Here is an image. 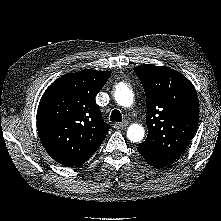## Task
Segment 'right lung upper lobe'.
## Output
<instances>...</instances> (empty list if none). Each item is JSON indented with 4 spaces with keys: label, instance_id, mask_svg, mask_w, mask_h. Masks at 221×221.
Wrapping results in <instances>:
<instances>
[{
    "label": "right lung upper lobe",
    "instance_id": "obj_1",
    "mask_svg": "<svg viewBox=\"0 0 221 221\" xmlns=\"http://www.w3.org/2000/svg\"><path fill=\"white\" fill-rule=\"evenodd\" d=\"M110 71L85 69L55 80L37 110V129L48 154L68 167L85 163L102 144L110 125L104 122L95 96Z\"/></svg>",
    "mask_w": 221,
    "mask_h": 221
}]
</instances>
